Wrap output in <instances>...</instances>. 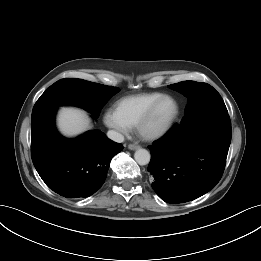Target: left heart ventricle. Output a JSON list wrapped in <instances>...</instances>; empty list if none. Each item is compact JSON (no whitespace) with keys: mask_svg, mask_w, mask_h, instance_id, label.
<instances>
[{"mask_svg":"<svg viewBox=\"0 0 261 261\" xmlns=\"http://www.w3.org/2000/svg\"><path fill=\"white\" fill-rule=\"evenodd\" d=\"M173 103L171 101H164L158 108L153 120L151 121L149 128L153 129L160 126L172 113Z\"/></svg>","mask_w":261,"mask_h":261,"instance_id":"obj_1","label":"left heart ventricle"}]
</instances>
